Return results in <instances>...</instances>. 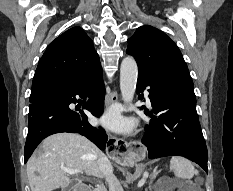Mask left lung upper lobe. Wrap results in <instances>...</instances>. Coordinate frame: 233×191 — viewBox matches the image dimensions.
Here are the masks:
<instances>
[{
    "mask_svg": "<svg viewBox=\"0 0 233 191\" xmlns=\"http://www.w3.org/2000/svg\"><path fill=\"white\" fill-rule=\"evenodd\" d=\"M127 54L132 55L138 72L194 93L193 81L177 45L162 31L141 26L128 39Z\"/></svg>",
    "mask_w": 233,
    "mask_h": 191,
    "instance_id": "obj_1",
    "label": "left lung upper lobe"
}]
</instances>
